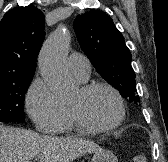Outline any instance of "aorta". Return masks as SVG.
I'll return each mask as SVG.
<instances>
[{
  "label": "aorta",
  "mask_w": 168,
  "mask_h": 162,
  "mask_svg": "<svg viewBox=\"0 0 168 162\" xmlns=\"http://www.w3.org/2000/svg\"><path fill=\"white\" fill-rule=\"evenodd\" d=\"M70 41L69 31L59 25L45 41L39 54L42 77L58 99L63 101L73 98L77 90L65 62Z\"/></svg>",
  "instance_id": "1"
}]
</instances>
